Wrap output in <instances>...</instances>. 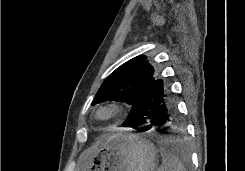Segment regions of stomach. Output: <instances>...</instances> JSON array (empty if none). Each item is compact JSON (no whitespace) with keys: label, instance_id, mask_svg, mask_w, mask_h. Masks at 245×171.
Wrapping results in <instances>:
<instances>
[{"label":"stomach","instance_id":"0dacf381","mask_svg":"<svg viewBox=\"0 0 245 171\" xmlns=\"http://www.w3.org/2000/svg\"><path fill=\"white\" fill-rule=\"evenodd\" d=\"M157 150L143 135L117 132L92 152L80 171H155Z\"/></svg>","mask_w":245,"mask_h":171}]
</instances>
